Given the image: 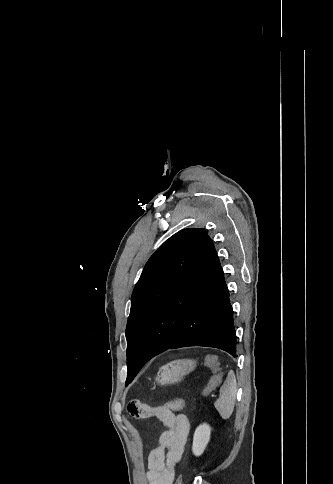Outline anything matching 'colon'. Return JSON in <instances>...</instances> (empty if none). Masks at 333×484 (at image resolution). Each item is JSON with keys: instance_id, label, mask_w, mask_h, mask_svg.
Returning <instances> with one entry per match:
<instances>
[{"instance_id": "5ec220e1", "label": "colon", "mask_w": 333, "mask_h": 484, "mask_svg": "<svg viewBox=\"0 0 333 484\" xmlns=\"http://www.w3.org/2000/svg\"><path fill=\"white\" fill-rule=\"evenodd\" d=\"M204 364L210 367L213 372L212 377L210 378L202 392L203 395H208L219 386L222 379V374L219 364L214 357H207L204 361ZM161 407L166 410L177 412L182 410V408L184 407V400L182 398H176L161 405ZM176 484H182L181 477L177 479Z\"/></svg>"}]
</instances>
